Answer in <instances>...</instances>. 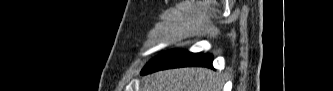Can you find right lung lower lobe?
I'll return each instance as SVG.
<instances>
[{
  "instance_id": "right-lung-lower-lobe-1",
  "label": "right lung lower lobe",
  "mask_w": 333,
  "mask_h": 91,
  "mask_svg": "<svg viewBox=\"0 0 333 91\" xmlns=\"http://www.w3.org/2000/svg\"><path fill=\"white\" fill-rule=\"evenodd\" d=\"M213 57L209 54L190 53L181 50H170L152 59L142 70V74L152 73L158 70L201 66L212 67Z\"/></svg>"
}]
</instances>
